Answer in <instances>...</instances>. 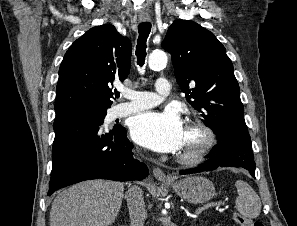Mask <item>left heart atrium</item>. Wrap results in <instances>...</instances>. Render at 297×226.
<instances>
[{"mask_svg": "<svg viewBox=\"0 0 297 226\" xmlns=\"http://www.w3.org/2000/svg\"><path fill=\"white\" fill-rule=\"evenodd\" d=\"M132 139L156 152H176L182 149L185 127L175 111L144 112L130 124Z\"/></svg>", "mask_w": 297, "mask_h": 226, "instance_id": "1", "label": "left heart atrium"}]
</instances>
